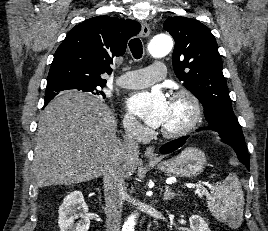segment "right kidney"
Returning <instances> with one entry per match:
<instances>
[{
	"mask_svg": "<svg viewBox=\"0 0 268 231\" xmlns=\"http://www.w3.org/2000/svg\"><path fill=\"white\" fill-rule=\"evenodd\" d=\"M58 225L61 231H88L90 219L87 214L88 206L80 191L68 194L59 207ZM81 218L78 223L75 219Z\"/></svg>",
	"mask_w": 268,
	"mask_h": 231,
	"instance_id": "ca27d5eb",
	"label": "right kidney"
}]
</instances>
